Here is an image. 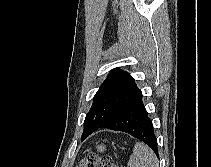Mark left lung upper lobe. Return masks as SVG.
Segmentation results:
<instances>
[{
	"mask_svg": "<svg viewBox=\"0 0 211 167\" xmlns=\"http://www.w3.org/2000/svg\"><path fill=\"white\" fill-rule=\"evenodd\" d=\"M141 94L134 79L122 70L114 69L94 96L84 121L82 137L110 122L126 105Z\"/></svg>",
	"mask_w": 211,
	"mask_h": 167,
	"instance_id": "obj_1",
	"label": "left lung upper lobe"
}]
</instances>
